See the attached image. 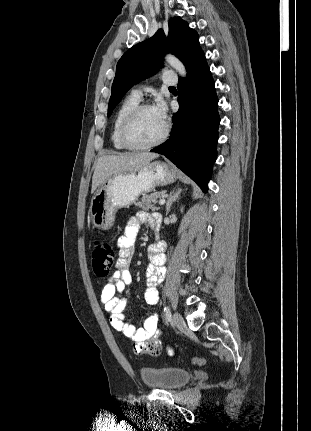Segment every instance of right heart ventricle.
Here are the masks:
<instances>
[{
	"label": "right heart ventricle",
	"instance_id": "e07e8e85",
	"mask_svg": "<svg viewBox=\"0 0 311 431\" xmlns=\"http://www.w3.org/2000/svg\"><path fill=\"white\" fill-rule=\"evenodd\" d=\"M140 103V97L132 92L127 94L119 104L113 121L111 140L118 151H126L130 148L124 143L121 136V125L126 115Z\"/></svg>",
	"mask_w": 311,
	"mask_h": 431
}]
</instances>
